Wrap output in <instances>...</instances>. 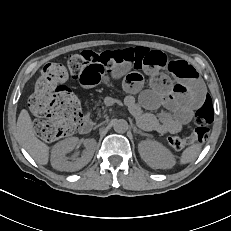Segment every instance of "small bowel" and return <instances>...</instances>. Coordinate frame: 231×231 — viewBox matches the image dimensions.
<instances>
[{
  "label": "small bowel",
  "instance_id": "small-bowel-1",
  "mask_svg": "<svg viewBox=\"0 0 231 231\" xmlns=\"http://www.w3.org/2000/svg\"><path fill=\"white\" fill-rule=\"evenodd\" d=\"M151 52L155 57L141 69L128 70L124 67L106 70L93 65L86 68L78 80L84 88H91L101 82L113 83L123 77L122 87L130 94L125 103L139 124L146 130L177 133L191 120L194 109L203 102L205 86L197 71L188 63L168 61L163 53ZM163 69L172 73L177 82L172 83L162 73ZM140 70L149 76L150 89L142 90L144 76ZM136 93H140L138 99L134 97ZM159 107H164L165 111L158 116L144 111H153Z\"/></svg>",
  "mask_w": 231,
  "mask_h": 231
}]
</instances>
